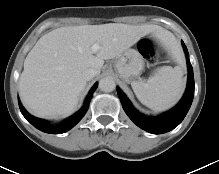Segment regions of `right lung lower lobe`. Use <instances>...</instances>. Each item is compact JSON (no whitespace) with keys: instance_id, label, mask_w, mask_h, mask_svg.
<instances>
[{"instance_id":"obj_1","label":"right lung lower lobe","mask_w":219,"mask_h":174,"mask_svg":"<svg viewBox=\"0 0 219 174\" xmlns=\"http://www.w3.org/2000/svg\"><path fill=\"white\" fill-rule=\"evenodd\" d=\"M97 86H98V83H95V85L91 88V90L89 91V94L87 95V97L85 99L83 107L77 113H75L71 117L64 120L58 126L50 125L49 122L30 115L24 109L21 102L18 100L19 108H20V111L23 114V116L37 129H39L45 133L61 134V133H64V132L70 130L72 127H74L81 120V118L84 116V114L86 113V111L88 109L92 94L96 90Z\"/></svg>"}]
</instances>
